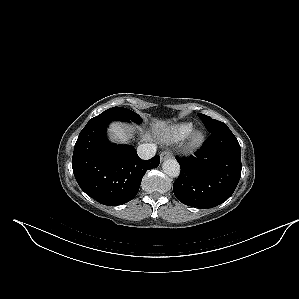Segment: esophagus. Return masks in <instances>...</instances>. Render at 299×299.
<instances>
[{"label":"esophagus","instance_id":"1","mask_svg":"<svg viewBox=\"0 0 299 299\" xmlns=\"http://www.w3.org/2000/svg\"><path fill=\"white\" fill-rule=\"evenodd\" d=\"M172 155L169 151H163L161 154H160V157H161V160L164 161L168 158H170Z\"/></svg>","mask_w":299,"mask_h":299}]
</instances>
